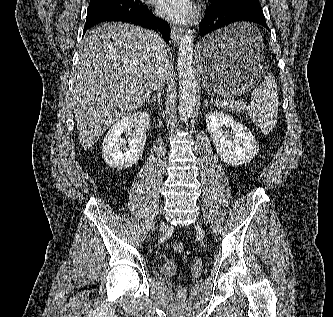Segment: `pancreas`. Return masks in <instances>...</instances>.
Masks as SVG:
<instances>
[{"instance_id": "cf45deb5", "label": "pancreas", "mask_w": 333, "mask_h": 317, "mask_svg": "<svg viewBox=\"0 0 333 317\" xmlns=\"http://www.w3.org/2000/svg\"><path fill=\"white\" fill-rule=\"evenodd\" d=\"M221 106L224 108V109H228V110H239L240 109V104H233L232 102H229V101H225L223 103H221Z\"/></svg>"}]
</instances>
